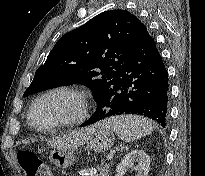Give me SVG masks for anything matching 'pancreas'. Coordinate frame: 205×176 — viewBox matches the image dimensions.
<instances>
[{
  "label": "pancreas",
  "instance_id": "obj_1",
  "mask_svg": "<svg viewBox=\"0 0 205 176\" xmlns=\"http://www.w3.org/2000/svg\"><path fill=\"white\" fill-rule=\"evenodd\" d=\"M110 163L108 164H101L97 167V171L95 172V169H89V172H92L91 176H108Z\"/></svg>",
  "mask_w": 205,
  "mask_h": 176
}]
</instances>
